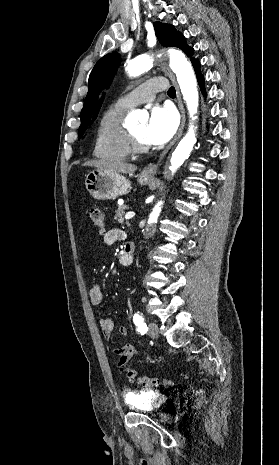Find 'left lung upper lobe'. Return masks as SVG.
Listing matches in <instances>:
<instances>
[{
    "instance_id": "5c2ea615",
    "label": "left lung upper lobe",
    "mask_w": 279,
    "mask_h": 465,
    "mask_svg": "<svg viewBox=\"0 0 279 465\" xmlns=\"http://www.w3.org/2000/svg\"><path fill=\"white\" fill-rule=\"evenodd\" d=\"M155 34L159 42L165 47H178L183 50L189 57L193 55V48H190L185 38L180 32H177L172 25L155 22ZM191 61L195 58L191 57ZM120 63L119 54L109 53L103 56L94 66L89 76V90L85 99L84 107L81 111V125L79 127V137H81L87 128L91 115L97 102L100 91L103 87L108 88L109 84L117 71Z\"/></svg>"
}]
</instances>
